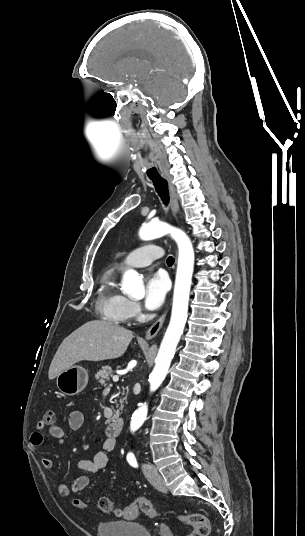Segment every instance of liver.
I'll list each match as a JSON object with an SVG mask.
<instances>
[{
    "instance_id": "1",
    "label": "liver",
    "mask_w": 305,
    "mask_h": 536,
    "mask_svg": "<svg viewBox=\"0 0 305 536\" xmlns=\"http://www.w3.org/2000/svg\"><path fill=\"white\" fill-rule=\"evenodd\" d=\"M132 338L130 330L104 320L87 322L63 340L50 364L48 378L54 380L58 374L82 360L101 362L120 358Z\"/></svg>"
}]
</instances>
